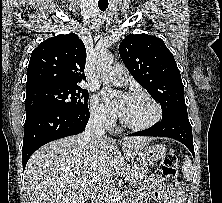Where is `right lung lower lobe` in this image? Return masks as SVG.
<instances>
[{
	"label": "right lung lower lobe",
	"instance_id": "right-lung-lower-lobe-1",
	"mask_svg": "<svg viewBox=\"0 0 222 203\" xmlns=\"http://www.w3.org/2000/svg\"><path fill=\"white\" fill-rule=\"evenodd\" d=\"M89 117L88 108L69 110L40 107L26 112L22 147L23 168L25 169L30 156L44 144L83 132Z\"/></svg>",
	"mask_w": 222,
	"mask_h": 203
}]
</instances>
